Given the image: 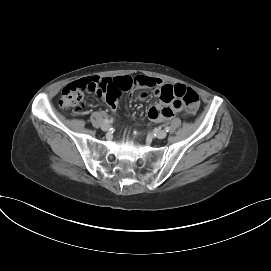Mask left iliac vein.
I'll return each instance as SVG.
<instances>
[{"label": "left iliac vein", "mask_w": 271, "mask_h": 271, "mask_svg": "<svg viewBox=\"0 0 271 271\" xmlns=\"http://www.w3.org/2000/svg\"><path fill=\"white\" fill-rule=\"evenodd\" d=\"M155 136L159 139H164L167 136V133L164 130L155 131Z\"/></svg>", "instance_id": "1"}]
</instances>
